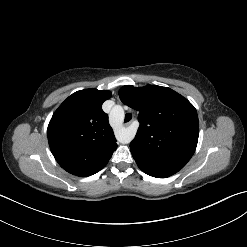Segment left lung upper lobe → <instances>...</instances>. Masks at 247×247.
<instances>
[{
	"label": "left lung upper lobe",
	"mask_w": 247,
	"mask_h": 247,
	"mask_svg": "<svg viewBox=\"0 0 247 247\" xmlns=\"http://www.w3.org/2000/svg\"><path fill=\"white\" fill-rule=\"evenodd\" d=\"M119 97L139 111L140 126L130 144L135 161L162 174L173 175L182 169L198 142L194 106L174 90L157 85L123 86Z\"/></svg>",
	"instance_id": "1"
}]
</instances>
